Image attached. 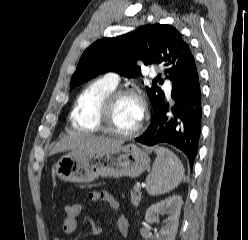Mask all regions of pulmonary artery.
<instances>
[{"mask_svg": "<svg viewBox=\"0 0 248 240\" xmlns=\"http://www.w3.org/2000/svg\"><path fill=\"white\" fill-rule=\"evenodd\" d=\"M106 79H107V81H108L109 83H111V84H113V85H115V86H117L118 83H119V78H118L117 75L114 74V73L108 74V75L106 76ZM165 91H166V93L169 95V94H170V91H171V88H170L169 86H166V87H165Z\"/></svg>", "mask_w": 248, "mask_h": 240, "instance_id": "obj_1", "label": "pulmonary artery"}]
</instances>
